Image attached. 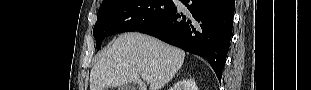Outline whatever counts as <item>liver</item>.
Instances as JSON below:
<instances>
[{"label":"liver","mask_w":311,"mask_h":90,"mask_svg":"<svg viewBox=\"0 0 311 90\" xmlns=\"http://www.w3.org/2000/svg\"><path fill=\"white\" fill-rule=\"evenodd\" d=\"M185 52L138 32L125 33L114 40L90 73V90L138 84L147 90L141 74L150 77L149 90H161L181 69Z\"/></svg>","instance_id":"liver-1"}]
</instances>
